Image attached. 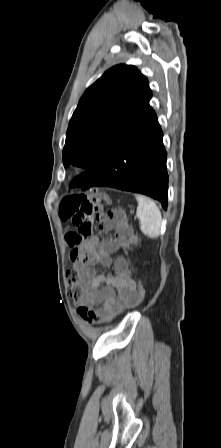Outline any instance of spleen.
Listing matches in <instances>:
<instances>
[{
	"instance_id": "1",
	"label": "spleen",
	"mask_w": 221,
	"mask_h": 448,
	"mask_svg": "<svg viewBox=\"0 0 221 448\" xmlns=\"http://www.w3.org/2000/svg\"><path fill=\"white\" fill-rule=\"evenodd\" d=\"M138 202L136 216L140 220V230L149 238L159 237L162 224V215L157 205L140 194L135 195Z\"/></svg>"
}]
</instances>
